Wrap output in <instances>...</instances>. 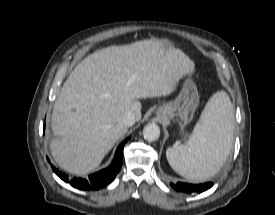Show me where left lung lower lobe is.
I'll return each instance as SVG.
<instances>
[{
    "mask_svg": "<svg viewBox=\"0 0 275 215\" xmlns=\"http://www.w3.org/2000/svg\"><path fill=\"white\" fill-rule=\"evenodd\" d=\"M171 186L175 188L179 192L191 194V193H201L213 186V183L207 182L203 184H188L183 182H177L176 184H172Z\"/></svg>",
    "mask_w": 275,
    "mask_h": 215,
    "instance_id": "obj_1",
    "label": "left lung lower lobe"
}]
</instances>
